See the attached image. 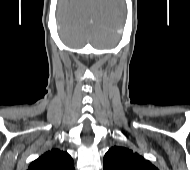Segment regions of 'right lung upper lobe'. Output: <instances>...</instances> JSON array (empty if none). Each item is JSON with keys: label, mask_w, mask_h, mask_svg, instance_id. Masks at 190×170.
Here are the masks:
<instances>
[{"label": "right lung upper lobe", "mask_w": 190, "mask_h": 170, "mask_svg": "<svg viewBox=\"0 0 190 170\" xmlns=\"http://www.w3.org/2000/svg\"><path fill=\"white\" fill-rule=\"evenodd\" d=\"M28 170H75L72 157L60 149H52L33 161Z\"/></svg>", "instance_id": "obj_1"}]
</instances>
